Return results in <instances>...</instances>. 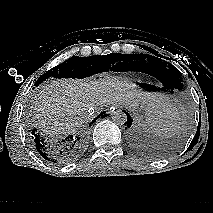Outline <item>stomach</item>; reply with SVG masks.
Here are the masks:
<instances>
[{"label":"stomach","instance_id":"stomach-1","mask_svg":"<svg viewBox=\"0 0 213 213\" xmlns=\"http://www.w3.org/2000/svg\"><path fill=\"white\" fill-rule=\"evenodd\" d=\"M131 110L138 118H140L141 113L145 111V118L148 122L153 121L157 114L161 111V109L149 107L147 104L141 102L138 105L131 107Z\"/></svg>","mask_w":213,"mask_h":213}]
</instances>
